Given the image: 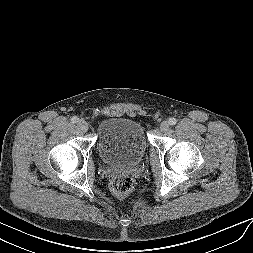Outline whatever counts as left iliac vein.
Here are the masks:
<instances>
[{"label":"left iliac vein","mask_w":253,"mask_h":253,"mask_svg":"<svg viewBox=\"0 0 253 253\" xmlns=\"http://www.w3.org/2000/svg\"><path fill=\"white\" fill-rule=\"evenodd\" d=\"M169 123L167 121H163L161 124H160V131L161 132H167L169 130Z\"/></svg>","instance_id":"4c4485c4"}]
</instances>
